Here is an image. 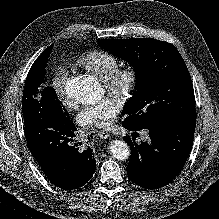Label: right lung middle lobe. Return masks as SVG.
<instances>
[{
    "label": "right lung middle lobe",
    "mask_w": 219,
    "mask_h": 219,
    "mask_svg": "<svg viewBox=\"0 0 219 219\" xmlns=\"http://www.w3.org/2000/svg\"><path fill=\"white\" fill-rule=\"evenodd\" d=\"M53 44L46 48L33 63L27 75L23 90L22 112L24 119L34 111L44 110L60 115L66 123L72 121L69 113L59 101L57 94L52 87H46L38 94V88L43 82L45 66Z\"/></svg>",
    "instance_id": "dd1d6c3e"
}]
</instances>
